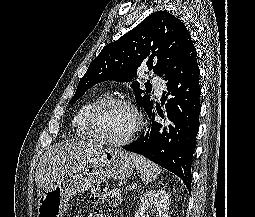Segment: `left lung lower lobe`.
I'll list each match as a JSON object with an SVG mask.
<instances>
[{"label": "left lung lower lobe", "instance_id": "0a47b994", "mask_svg": "<svg viewBox=\"0 0 255 217\" xmlns=\"http://www.w3.org/2000/svg\"><path fill=\"white\" fill-rule=\"evenodd\" d=\"M196 49L191 46L181 56L177 65L164 74L167 92L162 95L166 119L162 123L154 120L153 108L147 113L152 126L145 136L122 147L141 154L163 168L173 172L191 191V163L199 130L200 70Z\"/></svg>", "mask_w": 255, "mask_h": 217}]
</instances>
